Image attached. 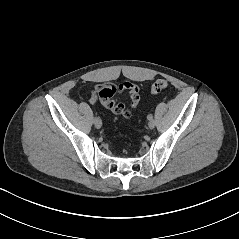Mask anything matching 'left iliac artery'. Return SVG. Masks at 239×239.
I'll return each mask as SVG.
<instances>
[{
	"label": "left iliac artery",
	"mask_w": 239,
	"mask_h": 239,
	"mask_svg": "<svg viewBox=\"0 0 239 239\" xmlns=\"http://www.w3.org/2000/svg\"><path fill=\"white\" fill-rule=\"evenodd\" d=\"M147 119H148V120H152V119H153V115H152V114H149V115L147 116Z\"/></svg>",
	"instance_id": "left-iliac-artery-1"
}]
</instances>
